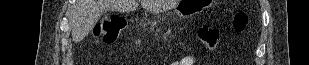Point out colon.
<instances>
[{
    "instance_id": "obj_1",
    "label": "colon",
    "mask_w": 309,
    "mask_h": 65,
    "mask_svg": "<svg viewBox=\"0 0 309 65\" xmlns=\"http://www.w3.org/2000/svg\"><path fill=\"white\" fill-rule=\"evenodd\" d=\"M248 14L244 11L237 12L232 19V26L236 32H242L248 24ZM127 21L125 17L120 15H110L104 17L97 29V36L101 38L105 44L114 43L119 33L125 29ZM222 38V30L213 25H202L198 29V39L201 44L209 50L215 49ZM192 60L193 58L190 57ZM186 63H190L189 59L185 60Z\"/></svg>"
}]
</instances>
